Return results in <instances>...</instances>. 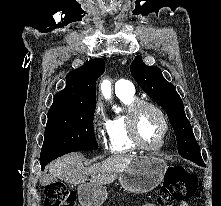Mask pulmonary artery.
<instances>
[{"label":"pulmonary artery","instance_id":"1","mask_svg":"<svg viewBox=\"0 0 221 206\" xmlns=\"http://www.w3.org/2000/svg\"><path fill=\"white\" fill-rule=\"evenodd\" d=\"M115 91L118 93H134V87L128 80H119L116 82Z\"/></svg>","mask_w":221,"mask_h":206}]
</instances>
